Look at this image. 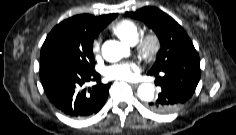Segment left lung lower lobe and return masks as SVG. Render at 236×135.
Listing matches in <instances>:
<instances>
[{"instance_id": "obj_1", "label": "left lung lower lobe", "mask_w": 236, "mask_h": 135, "mask_svg": "<svg viewBox=\"0 0 236 135\" xmlns=\"http://www.w3.org/2000/svg\"><path fill=\"white\" fill-rule=\"evenodd\" d=\"M148 75H154L161 86L157 100L149 103L150 109L162 114L172 113L188 102L195 92L200 79L199 56L193 55L185 65L148 72Z\"/></svg>"}]
</instances>
